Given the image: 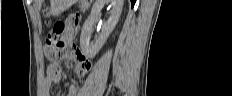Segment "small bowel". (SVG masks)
<instances>
[{
  "instance_id": "small-bowel-1",
  "label": "small bowel",
  "mask_w": 232,
  "mask_h": 96,
  "mask_svg": "<svg viewBox=\"0 0 232 96\" xmlns=\"http://www.w3.org/2000/svg\"><path fill=\"white\" fill-rule=\"evenodd\" d=\"M65 20H68L67 25H65V39L67 43H75L77 39L76 32H80V24L82 20V15L79 11H69L68 15H65ZM66 57H73L77 60V70L80 75H84L91 68V63H87L84 59V55L78 49H72L71 51H66ZM62 73L58 70L54 72L52 70V65L48 68L47 74L43 81V93L44 95L50 94V88L52 84L59 83L62 80ZM69 96H78V90L76 87H71L69 90Z\"/></svg>"
}]
</instances>
